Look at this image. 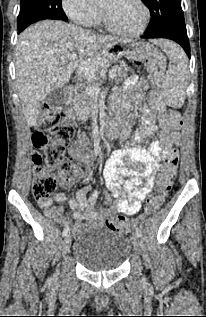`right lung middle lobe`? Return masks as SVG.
Returning <instances> with one entry per match:
<instances>
[{
  "instance_id": "dd1d6c3e",
  "label": "right lung middle lobe",
  "mask_w": 206,
  "mask_h": 317,
  "mask_svg": "<svg viewBox=\"0 0 206 317\" xmlns=\"http://www.w3.org/2000/svg\"><path fill=\"white\" fill-rule=\"evenodd\" d=\"M44 19L67 21L61 0H21L20 13L17 18L18 32L30 24Z\"/></svg>"
}]
</instances>
